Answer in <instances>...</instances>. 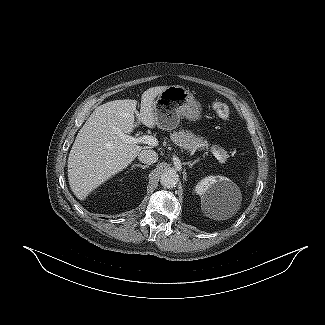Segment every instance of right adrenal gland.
I'll return each mask as SVG.
<instances>
[{"instance_id": "2a0ac1e0", "label": "right adrenal gland", "mask_w": 325, "mask_h": 325, "mask_svg": "<svg viewBox=\"0 0 325 325\" xmlns=\"http://www.w3.org/2000/svg\"><path fill=\"white\" fill-rule=\"evenodd\" d=\"M133 167H140V168H142V169H146V168H148L147 165H142V164H134Z\"/></svg>"}]
</instances>
